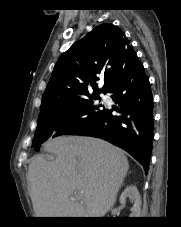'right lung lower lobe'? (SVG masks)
I'll return each instance as SVG.
<instances>
[{
  "mask_svg": "<svg viewBox=\"0 0 181 227\" xmlns=\"http://www.w3.org/2000/svg\"><path fill=\"white\" fill-rule=\"evenodd\" d=\"M107 92L121 109L113 116L105 109L101 117L91 126L75 135H87L107 140L126 150L147 171L153 142V96L148 77L137 56L126 64L121 76Z\"/></svg>",
  "mask_w": 181,
  "mask_h": 227,
  "instance_id": "obj_1",
  "label": "right lung lower lobe"
}]
</instances>
